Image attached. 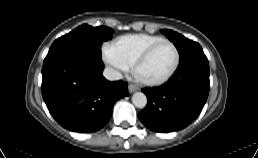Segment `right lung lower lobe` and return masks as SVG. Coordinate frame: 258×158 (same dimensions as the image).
I'll return each instance as SVG.
<instances>
[{"mask_svg": "<svg viewBox=\"0 0 258 158\" xmlns=\"http://www.w3.org/2000/svg\"><path fill=\"white\" fill-rule=\"evenodd\" d=\"M101 57L79 51L46 56L42 96L52 116L71 131L94 132L111 118L114 103L128 96L127 83L102 76Z\"/></svg>", "mask_w": 258, "mask_h": 158, "instance_id": "98d812e1", "label": "right lung lower lobe"}]
</instances>
